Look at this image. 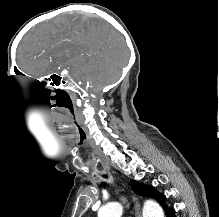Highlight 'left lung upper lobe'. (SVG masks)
<instances>
[{"mask_svg":"<svg viewBox=\"0 0 219 217\" xmlns=\"http://www.w3.org/2000/svg\"><path fill=\"white\" fill-rule=\"evenodd\" d=\"M131 186H132L133 191L137 195L152 197L161 204L163 209L167 207L164 203L166 197L163 194H160L157 191H155L153 187L145 186L136 181H131Z\"/></svg>","mask_w":219,"mask_h":217,"instance_id":"5c2ea615","label":"left lung upper lobe"}]
</instances>
